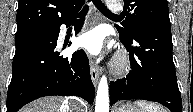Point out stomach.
<instances>
[{"mask_svg":"<svg viewBox=\"0 0 193 112\" xmlns=\"http://www.w3.org/2000/svg\"><path fill=\"white\" fill-rule=\"evenodd\" d=\"M115 112H141L140 109L130 103L120 105Z\"/></svg>","mask_w":193,"mask_h":112,"instance_id":"0dacf381","label":"stomach"}]
</instances>
